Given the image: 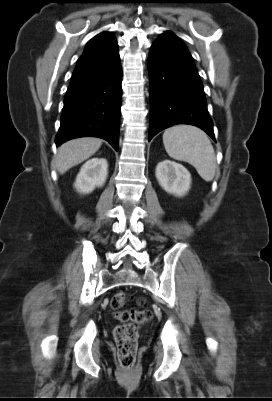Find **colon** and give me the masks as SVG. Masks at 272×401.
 <instances>
[{
	"label": "colon",
	"mask_w": 272,
	"mask_h": 401,
	"mask_svg": "<svg viewBox=\"0 0 272 401\" xmlns=\"http://www.w3.org/2000/svg\"><path fill=\"white\" fill-rule=\"evenodd\" d=\"M127 300L128 296L126 293L118 292L111 299V308L114 311L115 317L122 322L114 331L119 363L123 369L131 370L135 365L138 350L137 324L150 320L152 314L147 309L121 310ZM138 304L145 306L146 303L144 300H139Z\"/></svg>",
	"instance_id": "colon-1"
}]
</instances>
